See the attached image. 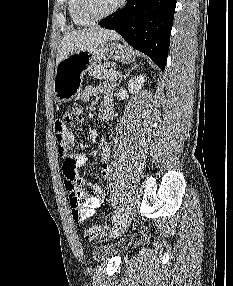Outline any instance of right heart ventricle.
I'll use <instances>...</instances> for the list:
<instances>
[{"label": "right heart ventricle", "mask_w": 233, "mask_h": 286, "mask_svg": "<svg viewBox=\"0 0 233 286\" xmlns=\"http://www.w3.org/2000/svg\"><path fill=\"white\" fill-rule=\"evenodd\" d=\"M67 10L71 21L76 26L84 27L91 23L80 14L78 0H67Z\"/></svg>", "instance_id": "obj_1"}]
</instances>
